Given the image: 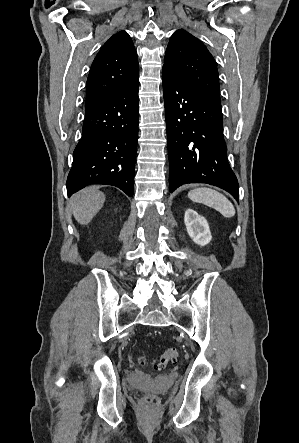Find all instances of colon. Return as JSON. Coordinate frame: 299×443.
Returning <instances> with one entry per match:
<instances>
[{
    "label": "colon",
    "mask_w": 299,
    "mask_h": 443,
    "mask_svg": "<svg viewBox=\"0 0 299 443\" xmlns=\"http://www.w3.org/2000/svg\"><path fill=\"white\" fill-rule=\"evenodd\" d=\"M179 351L176 348H169L161 355L159 358L155 359L153 362V366L156 369H163L168 362L174 361L178 358ZM139 362L141 365L146 364V359L144 357H139ZM143 401L148 405L157 404V397L153 394H145L143 397Z\"/></svg>",
    "instance_id": "obj_1"
}]
</instances>
